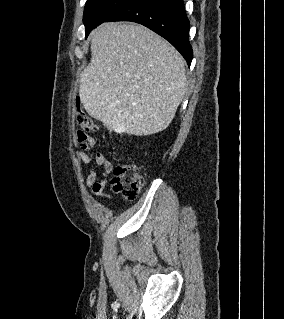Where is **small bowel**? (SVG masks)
Wrapping results in <instances>:
<instances>
[{
  "mask_svg": "<svg viewBox=\"0 0 284 319\" xmlns=\"http://www.w3.org/2000/svg\"><path fill=\"white\" fill-rule=\"evenodd\" d=\"M76 141L80 146L78 151V158L85 164H91L90 172L86 178L87 186L92 190L93 194L109 199V195L105 194L107 185V175L113 170L112 163L102 153H93L92 147L95 144L94 139L84 131L76 133ZM97 167L102 168V174L97 171Z\"/></svg>",
  "mask_w": 284,
  "mask_h": 319,
  "instance_id": "small-bowel-1",
  "label": "small bowel"
}]
</instances>
